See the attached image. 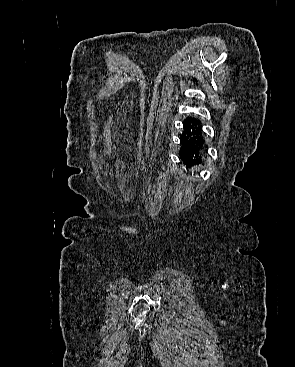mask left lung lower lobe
<instances>
[{"mask_svg":"<svg viewBox=\"0 0 295 367\" xmlns=\"http://www.w3.org/2000/svg\"><path fill=\"white\" fill-rule=\"evenodd\" d=\"M181 143L179 155L183 163L186 165L195 163L204 146L202 124L199 119L188 118L185 120Z\"/></svg>","mask_w":295,"mask_h":367,"instance_id":"0a47b994","label":"left lung lower lobe"}]
</instances>
